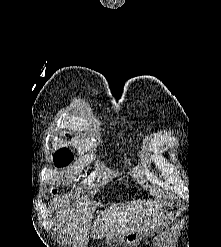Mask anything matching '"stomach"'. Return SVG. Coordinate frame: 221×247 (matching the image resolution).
<instances>
[{
  "label": "stomach",
  "mask_w": 221,
  "mask_h": 247,
  "mask_svg": "<svg viewBox=\"0 0 221 247\" xmlns=\"http://www.w3.org/2000/svg\"><path fill=\"white\" fill-rule=\"evenodd\" d=\"M153 234L156 230L151 229ZM142 239V233L140 231H129L116 236L107 238V243L113 245L114 247H134L137 246Z\"/></svg>",
  "instance_id": "1"
}]
</instances>
